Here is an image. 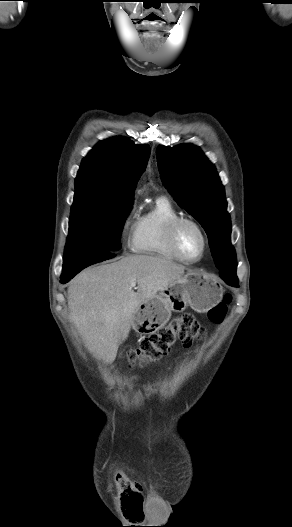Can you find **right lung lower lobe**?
I'll return each instance as SVG.
<instances>
[{
  "label": "right lung lower lobe",
  "instance_id": "1",
  "mask_svg": "<svg viewBox=\"0 0 292 527\" xmlns=\"http://www.w3.org/2000/svg\"><path fill=\"white\" fill-rule=\"evenodd\" d=\"M114 256V254L109 252L64 256L63 271L60 282L65 284L85 267L111 259Z\"/></svg>",
  "mask_w": 292,
  "mask_h": 527
}]
</instances>
